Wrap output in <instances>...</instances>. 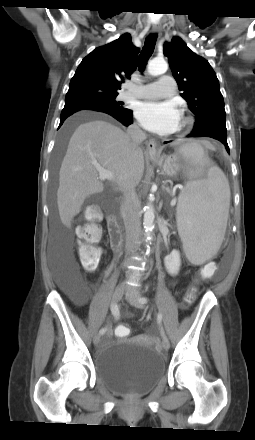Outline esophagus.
I'll use <instances>...</instances> for the list:
<instances>
[{"instance_id":"esophagus-1","label":"esophagus","mask_w":255,"mask_h":440,"mask_svg":"<svg viewBox=\"0 0 255 440\" xmlns=\"http://www.w3.org/2000/svg\"><path fill=\"white\" fill-rule=\"evenodd\" d=\"M161 31V25L160 24H154L152 27V33L159 34ZM146 151L150 156H157L158 155V145L154 140H149L146 143Z\"/></svg>"}]
</instances>
